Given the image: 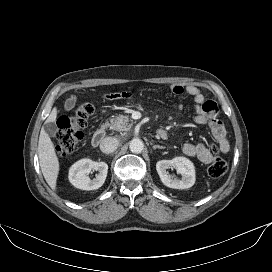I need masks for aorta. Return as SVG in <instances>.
<instances>
[{
  "label": "aorta",
  "instance_id": "1",
  "mask_svg": "<svg viewBox=\"0 0 272 272\" xmlns=\"http://www.w3.org/2000/svg\"><path fill=\"white\" fill-rule=\"evenodd\" d=\"M130 151L133 153H141L144 149V143L142 140L138 138H134L131 140L129 144Z\"/></svg>",
  "mask_w": 272,
  "mask_h": 272
}]
</instances>
